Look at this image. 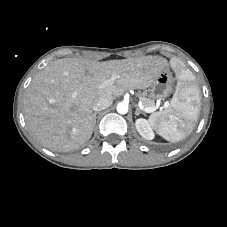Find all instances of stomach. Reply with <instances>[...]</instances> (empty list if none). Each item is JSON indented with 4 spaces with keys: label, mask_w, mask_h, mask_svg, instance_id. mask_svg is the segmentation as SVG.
<instances>
[{
    "label": "stomach",
    "mask_w": 227,
    "mask_h": 227,
    "mask_svg": "<svg viewBox=\"0 0 227 227\" xmlns=\"http://www.w3.org/2000/svg\"><path fill=\"white\" fill-rule=\"evenodd\" d=\"M174 78L169 69L163 70L151 85V96L154 99H166L173 92Z\"/></svg>",
    "instance_id": "1"
}]
</instances>
